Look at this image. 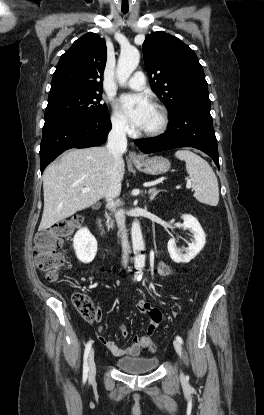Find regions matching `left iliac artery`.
Here are the masks:
<instances>
[{"label":"left iliac artery","mask_w":264,"mask_h":415,"mask_svg":"<svg viewBox=\"0 0 264 415\" xmlns=\"http://www.w3.org/2000/svg\"><path fill=\"white\" fill-rule=\"evenodd\" d=\"M176 340H178L181 344L183 343V340L180 336H176Z\"/></svg>","instance_id":"44dca946"}]
</instances>
